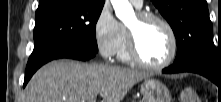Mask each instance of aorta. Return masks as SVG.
<instances>
[{"instance_id": "obj_1", "label": "aorta", "mask_w": 221, "mask_h": 102, "mask_svg": "<svg viewBox=\"0 0 221 102\" xmlns=\"http://www.w3.org/2000/svg\"><path fill=\"white\" fill-rule=\"evenodd\" d=\"M116 16L121 21L133 18L134 10L129 0H111Z\"/></svg>"}]
</instances>
